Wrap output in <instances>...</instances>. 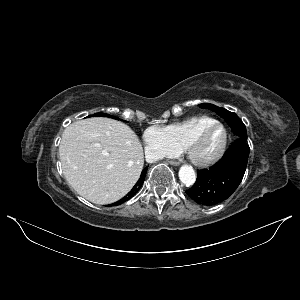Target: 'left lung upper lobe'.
Segmentation results:
<instances>
[{"mask_svg":"<svg viewBox=\"0 0 300 300\" xmlns=\"http://www.w3.org/2000/svg\"><path fill=\"white\" fill-rule=\"evenodd\" d=\"M199 106L201 108L210 109L216 112L219 116H221L231 127L236 140L242 139L244 141H247L246 127L242 120L235 113L208 103H203Z\"/></svg>","mask_w":300,"mask_h":300,"instance_id":"1","label":"left lung upper lobe"}]
</instances>
